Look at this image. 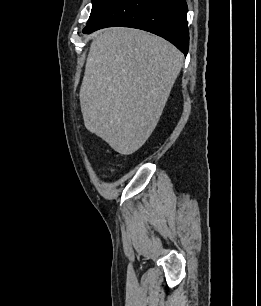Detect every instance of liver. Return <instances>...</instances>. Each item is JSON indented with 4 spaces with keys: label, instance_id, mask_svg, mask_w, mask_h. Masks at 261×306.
<instances>
[{
    "label": "liver",
    "instance_id": "obj_1",
    "mask_svg": "<svg viewBox=\"0 0 261 306\" xmlns=\"http://www.w3.org/2000/svg\"><path fill=\"white\" fill-rule=\"evenodd\" d=\"M183 61L174 45L145 31H100L79 93L87 130L119 154L136 152L155 129Z\"/></svg>",
    "mask_w": 261,
    "mask_h": 306
}]
</instances>
